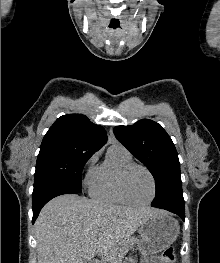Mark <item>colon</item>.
I'll return each mask as SVG.
<instances>
[{
	"mask_svg": "<svg viewBox=\"0 0 220 263\" xmlns=\"http://www.w3.org/2000/svg\"><path fill=\"white\" fill-rule=\"evenodd\" d=\"M163 263H173L175 260V252L174 249L169 247L166 248L163 253H162V257H161Z\"/></svg>",
	"mask_w": 220,
	"mask_h": 263,
	"instance_id": "obj_1",
	"label": "colon"
}]
</instances>
